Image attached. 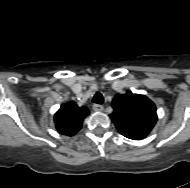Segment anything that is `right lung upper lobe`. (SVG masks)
<instances>
[{
    "instance_id": "obj_1",
    "label": "right lung upper lobe",
    "mask_w": 190,
    "mask_h": 188,
    "mask_svg": "<svg viewBox=\"0 0 190 188\" xmlns=\"http://www.w3.org/2000/svg\"><path fill=\"white\" fill-rule=\"evenodd\" d=\"M88 115V108L79 107L74 101H71L61 105L54 115V123L60 134L73 136L81 129L82 123Z\"/></svg>"
}]
</instances>
